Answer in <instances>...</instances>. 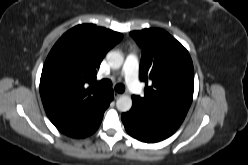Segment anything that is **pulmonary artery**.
I'll list each match as a JSON object with an SVG mask.
<instances>
[{"mask_svg": "<svg viewBox=\"0 0 248 165\" xmlns=\"http://www.w3.org/2000/svg\"><path fill=\"white\" fill-rule=\"evenodd\" d=\"M138 66V56L136 54H130L127 57L122 69L127 86L135 95L142 93V88L138 80Z\"/></svg>", "mask_w": 248, "mask_h": 165, "instance_id": "e3ab8cb5", "label": "pulmonary artery"}]
</instances>
